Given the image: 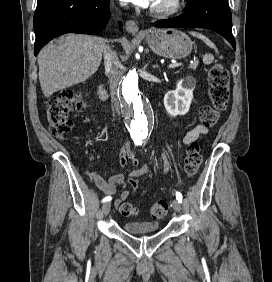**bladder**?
<instances>
[{"mask_svg":"<svg viewBox=\"0 0 272 282\" xmlns=\"http://www.w3.org/2000/svg\"><path fill=\"white\" fill-rule=\"evenodd\" d=\"M160 224L151 221H130L123 224V229L132 234H144L158 231Z\"/></svg>","mask_w":272,"mask_h":282,"instance_id":"bladder-1","label":"bladder"}]
</instances>
